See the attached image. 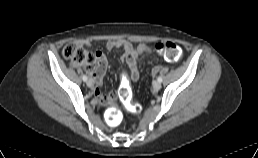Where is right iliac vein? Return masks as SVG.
Masks as SVG:
<instances>
[{
    "mask_svg": "<svg viewBox=\"0 0 258 158\" xmlns=\"http://www.w3.org/2000/svg\"><path fill=\"white\" fill-rule=\"evenodd\" d=\"M87 86H88V87H92V86H93V81H92V79L87 80Z\"/></svg>",
    "mask_w": 258,
    "mask_h": 158,
    "instance_id": "1",
    "label": "right iliac vein"
}]
</instances>
